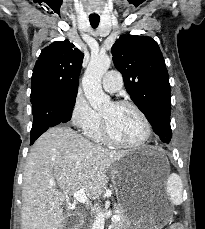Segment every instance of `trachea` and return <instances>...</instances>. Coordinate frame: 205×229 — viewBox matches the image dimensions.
<instances>
[{
	"label": "trachea",
	"mask_w": 205,
	"mask_h": 229,
	"mask_svg": "<svg viewBox=\"0 0 205 229\" xmlns=\"http://www.w3.org/2000/svg\"><path fill=\"white\" fill-rule=\"evenodd\" d=\"M89 21L93 28H97L100 22V17L98 15H90Z\"/></svg>",
	"instance_id": "3493384b"
}]
</instances>
